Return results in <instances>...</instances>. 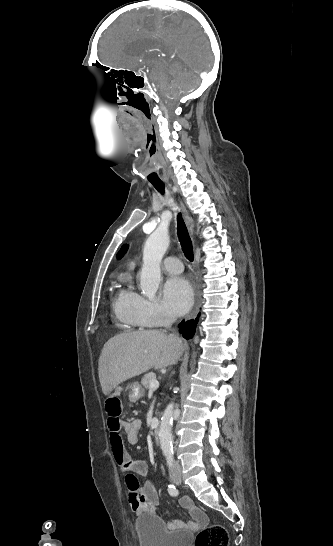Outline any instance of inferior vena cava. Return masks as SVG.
<instances>
[{"mask_svg": "<svg viewBox=\"0 0 333 546\" xmlns=\"http://www.w3.org/2000/svg\"><path fill=\"white\" fill-rule=\"evenodd\" d=\"M172 323H173V319L170 318V317H165L164 319V327H166L167 329L171 328L172 326ZM179 466V462L178 461H173V467H178Z\"/></svg>", "mask_w": 333, "mask_h": 546, "instance_id": "obj_1", "label": "inferior vena cava"}]
</instances>
